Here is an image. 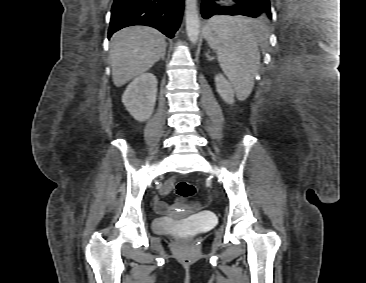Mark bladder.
<instances>
[{
    "instance_id": "31cf9c89",
    "label": "bladder",
    "mask_w": 366,
    "mask_h": 283,
    "mask_svg": "<svg viewBox=\"0 0 366 283\" xmlns=\"http://www.w3.org/2000/svg\"><path fill=\"white\" fill-rule=\"evenodd\" d=\"M209 224L203 220H197L190 226H182L178 222L167 218H156L153 222V229L159 234H189L193 235L209 228Z\"/></svg>"
}]
</instances>
